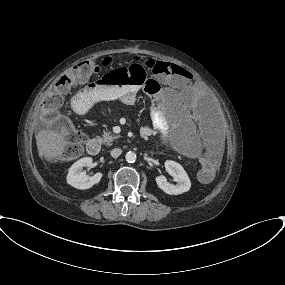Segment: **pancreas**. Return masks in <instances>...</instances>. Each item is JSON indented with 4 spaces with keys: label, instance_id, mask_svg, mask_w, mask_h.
<instances>
[{
    "label": "pancreas",
    "instance_id": "1",
    "mask_svg": "<svg viewBox=\"0 0 285 285\" xmlns=\"http://www.w3.org/2000/svg\"><path fill=\"white\" fill-rule=\"evenodd\" d=\"M118 138V135L112 134L109 131H105L102 135L101 141L103 144L110 146L114 141L118 140Z\"/></svg>",
    "mask_w": 285,
    "mask_h": 285
}]
</instances>
